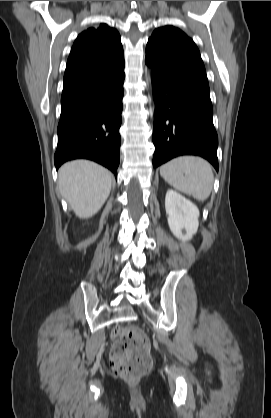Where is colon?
I'll return each instance as SVG.
<instances>
[{
	"label": "colon",
	"mask_w": 271,
	"mask_h": 418,
	"mask_svg": "<svg viewBox=\"0 0 271 418\" xmlns=\"http://www.w3.org/2000/svg\"><path fill=\"white\" fill-rule=\"evenodd\" d=\"M112 338L114 344L110 354V363L117 376L134 379L151 368L150 343L141 329L117 328L113 331Z\"/></svg>",
	"instance_id": "obj_1"
}]
</instances>
